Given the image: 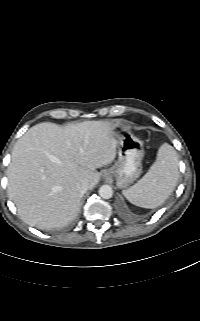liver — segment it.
Listing matches in <instances>:
<instances>
[{"mask_svg": "<svg viewBox=\"0 0 200 321\" xmlns=\"http://www.w3.org/2000/svg\"><path fill=\"white\" fill-rule=\"evenodd\" d=\"M117 137L108 121H86L60 127L44 122L15 143L7 170L8 195L21 219L39 229L61 228L79 211L83 192L99 181L97 168L116 157Z\"/></svg>", "mask_w": 200, "mask_h": 321, "instance_id": "6515ba94", "label": "liver"}]
</instances>
